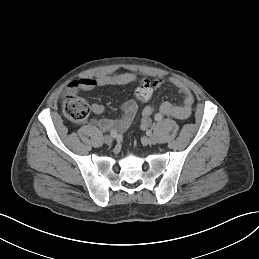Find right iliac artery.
Instances as JSON below:
<instances>
[{"instance_id": "1", "label": "right iliac artery", "mask_w": 259, "mask_h": 259, "mask_svg": "<svg viewBox=\"0 0 259 259\" xmlns=\"http://www.w3.org/2000/svg\"><path fill=\"white\" fill-rule=\"evenodd\" d=\"M110 135L113 137V138H116L117 137V133L115 131H111L110 132Z\"/></svg>"}]
</instances>
